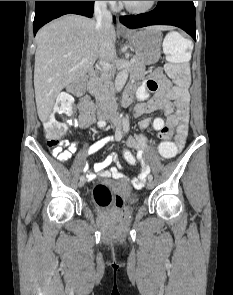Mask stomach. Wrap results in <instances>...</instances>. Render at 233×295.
Returning a JSON list of instances; mask_svg holds the SVG:
<instances>
[{"label": "stomach", "instance_id": "stomach-1", "mask_svg": "<svg viewBox=\"0 0 233 295\" xmlns=\"http://www.w3.org/2000/svg\"><path fill=\"white\" fill-rule=\"evenodd\" d=\"M134 47L136 58L145 65L158 62L161 56L162 33L156 26L130 30L123 35Z\"/></svg>", "mask_w": 233, "mask_h": 295}]
</instances>
